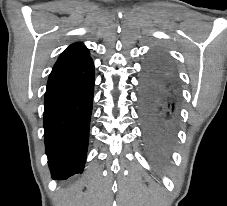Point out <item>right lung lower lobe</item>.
Returning <instances> with one entry per match:
<instances>
[{"instance_id":"1","label":"right lung lower lobe","mask_w":227,"mask_h":206,"mask_svg":"<svg viewBox=\"0 0 227 206\" xmlns=\"http://www.w3.org/2000/svg\"><path fill=\"white\" fill-rule=\"evenodd\" d=\"M94 92L88 57L54 66L44 99L45 145L52 177L81 173L86 161Z\"/></svg>"}]
</instances>
